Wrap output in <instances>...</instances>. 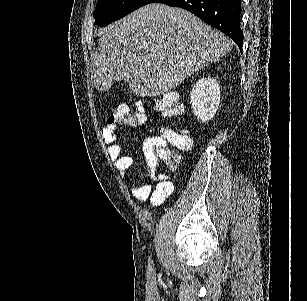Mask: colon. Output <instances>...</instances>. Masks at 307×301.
<instances>
[{"label":"colon","instance_id":"5ec220e1","mask_svg":"<svg viewBox=\"0 0 307 301\" xmlns=\"http://www.w3.org/2000/svg\"><path fill=\"white\" fill-rule=\"evenodd\" d=\"M154 108L164 117L180 115L183 107L179 97L174 92L162 94L154 102ZM146 113L142 105H138L135 112L129 113L126 106H119L107 120V124H124L131 128H140L146 122ZM161 144L155 148V154L161 159L170 171H176L180 165V155L170 149L186 150L192 146V139L188 132L183 129L162 128L160 130Z\"/></svg>","mask_w":307,"mask_h":301}]
</instances>
